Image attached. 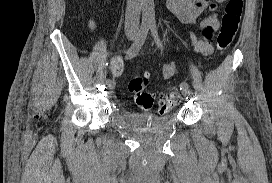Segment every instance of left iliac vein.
Listing matches in <instances>:
<instances>
[{"label":"left iliac vein","instance_id":"4c4485c4","mask_svg":"<svg viewBox=\"0 0 272 183\" xmlns=\"http://www.w3.org/2000/svg\"><path fill=\"white\" fill-rule=\"evenodd\" d=\"M182 94H183L184 96H190V95H191V91H190L189 89H186V90H183V91H182Z\"/></svg>","mask_w":272,"mask_h":183}]
</instances>
